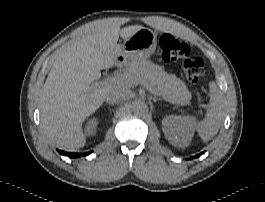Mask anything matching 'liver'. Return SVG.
Returning <instances> with one entry per match:
<instances>
[{"instance_id": "liver-1", "label": "liver", "mask_w": 265, "mask_h": 202, "mask_svg": "<svg viewBox=\"0 0 265 202\" xmlns=\"http://www.w3.org/2000/svg\"><path fill=\"white\" fill-rule=\"evenodd\" d=\"M142 28L120 29L110 20H97L86 25L79 40L57 53L40 95L41 127L52 142L69 151L86 144L82 124L115 86L92 83L101 77V70L115 65L121 53L119 35L126 40Z\"/></svg>"}]
</instances>
